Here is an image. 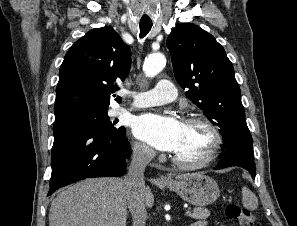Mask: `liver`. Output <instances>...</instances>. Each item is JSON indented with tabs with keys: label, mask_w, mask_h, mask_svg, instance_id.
Instances as JSON below:
<instances>
[{
	"label": "liver",
	"mask_w": 297,
	"mask_h": 226,
	"mask_svg": "<svg viewBox=\"0 0 297 226\" xmlns=\"http://www.w3.org/2000/svg\"><path fill=\"white\" fill-rule=\"evenodd\" d=\"M143 196L146 206L151 208L154 196L149 187H145ZM127 215L122 178L86 179L63 190L52 201L49 226H126Z\"/></svg>",
	"instance_id": "obj_1"
}]
</instances>
